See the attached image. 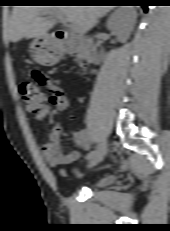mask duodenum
<instances>
[{
	"instance_id": "duodenum-1",
	"label": "duodenum",
	"mask_w": 170,
	"mask_h": 231,
	"mask_svg": "<svg viewBox=\"0 0 170 231\" xmlns=\"http://www.w3.org/2000/svg\"><path fill=\"white\" fill-rule=\"evenodd\" d=\"M59 50L67 54H80V59L87 64L98 62L99 55L96 44L85 38L72 36L69 32L58 30L53 34Z\"/></svg>"
}]
</instances>
